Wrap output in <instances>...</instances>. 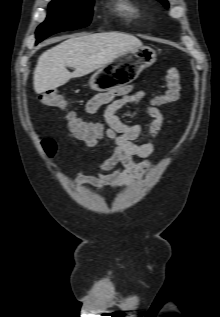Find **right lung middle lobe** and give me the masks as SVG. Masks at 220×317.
Masks as SVG:
<instances>
[{
	"mask_svg": "<svg viewBox=\"0 0 220 317\" xmlns=\"http://www.w3.org/2000/svg\"><path fill=\"white\" fill-rule=\"evenodd\" d=\"M93 0H53L48 16L36 31V43L62 31L75 30L89 25Z\"/></svg>",
	"mask_w": 220,
	"mask_h": 317,
	"instance_id": "1",
	"label": "right lung middle lobe"
}]
</instances>
